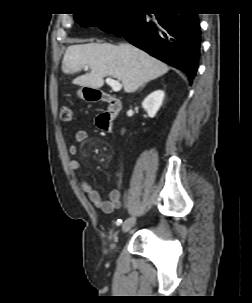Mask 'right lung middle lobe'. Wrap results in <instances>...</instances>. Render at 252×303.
<instances>
[{
	"instance_id": "dd1d6c3e",
	"label": "right lung middle lobe",
	"mask_w": 252,
	"mask_h": 303,
	"mask_svg": "<svg viewBox=\"0 0 252 303\" xmlns=\"http://www.w3.org/2000/svg\"><path fill=\"white\" fill-rule=\"evenodd\" d=\"M128 14L122 13H83L75 14V21L81 26H98L101 29L105 26L115 24Z\"/></svg>"
}]
</instances>
